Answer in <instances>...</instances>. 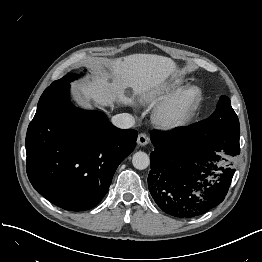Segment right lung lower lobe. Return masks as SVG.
I'll use <instances>...</instances> for the list:
<instances>
[{
  "instance_id": "right-lung-lower-lobe-1",
  "label": "right lung lower lobe",
  "mask_w": 262,
  "mask_h": 262,
  "mask_svg": "<svg viewBox=\"0 0 262 262\" xmlns=\"http://www.w3.org/2000/svg\"><path fill=\"white\" fill-rule=\"evenodd\" d=\"M69 88L49 86L41 95L26 134V167L31 184L47 200L84 211L105 196L138 133L116 128L104 113L76 108Z\"/></svg>"
}]
</instances>
